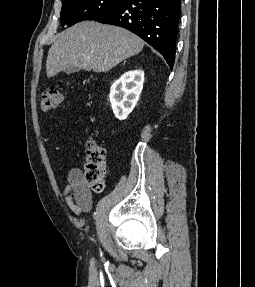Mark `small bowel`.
Wrapping results in <instances>:
<instances>
[{"label":"small bowel","instance_id":"small-bowel-1","mask_svg":"<svg viewBox=\"0 0 255 287\" xmlns=\"http://www.w3.org/2000/svg\"><path fill=\"white\" fill-rule=\"evenodd\" d=\"M63 197L75 215L89 211L92 195L84 180V174L79 168H73L69 171L67 185L63 189Z\"/></svg>","mask_w":255,"mask_h":287}]
</instances>
